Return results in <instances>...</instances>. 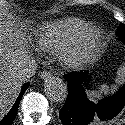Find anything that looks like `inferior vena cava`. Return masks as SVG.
I'll list each match as a JSON object with an SVG mask.
<instances>
[{"label":"inferior vena cava","mask_w":125,"mask_h":125,"mask_svg":"<svg viewBox=\"0 0 125 125\" xmlns=\"http://www.w3.org/2000/svg\"><path fill=\"white\" fill-rule=\"evenodd\" d=\"M36 68H37V64L33 60L29 61L26 64H23L21 70L19 71V78L21 80H24L26 78L32 77L35 74Z\"/></svg>","instance_id":"602c4592"}]
</instances>
